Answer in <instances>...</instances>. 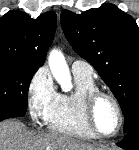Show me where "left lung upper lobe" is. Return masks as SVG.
<instances>
[{
    "mask_svg": "<svg viewBox=\"0 0 139 150\" xmlns=\"http://www.w3.org/2000/svg\"><path fill=\"white\" fill-rule=\"evenodd\" d=\"M72 48L97 70L124 114V133L139 129V28L117 6L106 3L77 15L61 13Z\"/></svg>",
    "mask_w": 139,
    "mask_h": 150,
    "instance_id": "obj_1",
    "label": "left lung upper lobe"
}]
</instances>
